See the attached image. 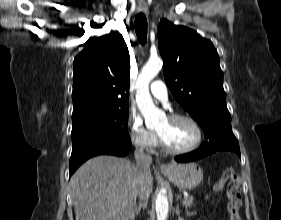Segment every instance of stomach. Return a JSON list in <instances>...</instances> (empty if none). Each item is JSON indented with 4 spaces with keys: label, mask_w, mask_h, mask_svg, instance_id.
Returning <instances> with one entry per match:
<instances>
[{
    "label": "stomach",
    "mask_w": 281,
    "mask_h": 220,
    "mask_svg": "<svg viewBox=\"0 0 281 220\" xmlns=\"http://www.w3.org/2000/svg\"><path fill=\"white\" fill-rule=\"evenodd\" d=\"M162 173L177 187L190 190L203 180V171L196 163H171Z\"/></svg>",
    "instance_id": "stomach-1"
}]
</instances>
